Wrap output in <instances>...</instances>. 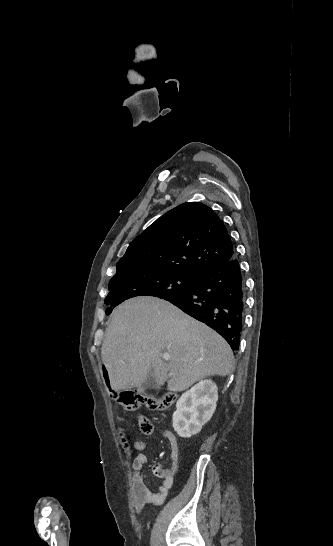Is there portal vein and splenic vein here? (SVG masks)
Here are the masks:
<instances>
[{"mask_svg": "<svg viewBox=\"0 0 333 546\" xmlns=\"http://www.w3.org/2000/svg\"><path fill=\"white\" fill-rule=\"evenodd\" d=\"M162 358L165 360V361H169L170 360V355L168 353H164L162 355Z\"/></svg>", "mask_w": 333, "mask_h": 546, "instance_id": "1", "label": "portal vein and splenic vein"}]
</instances>
